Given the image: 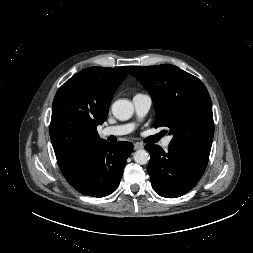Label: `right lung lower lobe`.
I'll return each mask as SVG.
<instances>
[{
  "instance_id": "right-lung-lower-lobe-1",
  "label": "right lung lower lobe",
  "mask_w": 253,
  "mask_h": 253,
  "mask_svg": "<svg viewBox=\"0 0 253 253\" xmlns=\"http://www.w3.org/2000/svg\"><path fill=\"white\" fill-rule=\"evenodd\" d=\"M132 150L131 142L104 140L95 144L64 177L83 195L105 197L117 189Z\"/></svg>"
}]
</instances>
